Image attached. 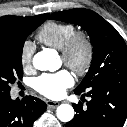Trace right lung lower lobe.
I'll return each instance as SVG.
<instances>
[{"instance_id":"right-lung-lower-lobe-1","label":"right lung lower lobe","mask_w":127,"mask_h":127,"mask_svg":"<svg viewBox=\"0 0 127 127\" xmlns=\"http://www.w3.org/2000/svg\"><path fill=\"white\" fill-rule=\"evenodd\" d=\"M46 107L45 102L32 96L12 100L10 93L0 94V127H33Z\"/></svg>"}]
</instances>
